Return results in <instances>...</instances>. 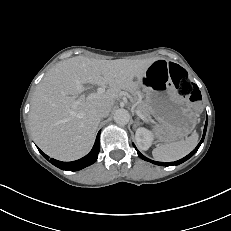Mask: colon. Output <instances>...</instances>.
<instances>
[{
	"label": "colon",
	"mask_w": 231,
	"mask_h": 231,
	"mask_svg": "<svg viewBox=\"0 0 231 231\" xmlns=\"http://www.w3.org/2000/svg\"><path fill=\"white\" fill-rule=\"evenodd\" d=\"M168 69L178 93L182 96L190 97L193 101H197L198 91L189 79L185 69L175 63H170Z\"/></svg>",
	"instance_id": "obj_1"
}]
</instances>
